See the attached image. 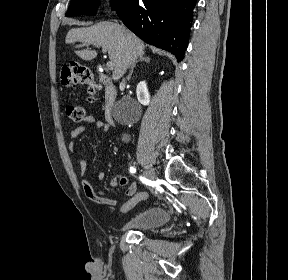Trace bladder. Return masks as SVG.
I'll list each match as a JSON object with an SVG mask.
<instances>
[{"mask_svg":"<svg viewBox=\"0 0 288 280\" xmlns=\"http://www.w3.org/2000/svg\"><path fill=\"white\" fill-rule=\"evenodd\" d=\"M171 218L170 212L163 207L147 208L128 221L123 227L127 230H146L160 227L166 224Z\"/></svg>","mask_w":288,"mask_h":280,"instance_id":"1","label":"bladder"}]
</instances>
